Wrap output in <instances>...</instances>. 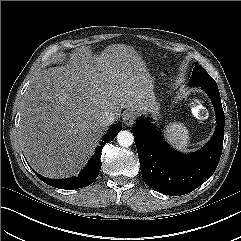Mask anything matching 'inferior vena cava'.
I'll return each instance as SVG.
<instances>
[{"label":"inferior vena cava","instance_id":"inferior-vena-cava-1","mask_svg":"<svg viewBox=\"0 0 241 241\" xmlns=\"http://www.w3.org/2000/svg\"><path fill=\"white\" fill-rule=\"evenodd\" d=\"M116 116L113 112H106L100 119L103 126H109L114 123Z\"/></svg>","mask_w":241,"mask_h":241}]
</instances>
